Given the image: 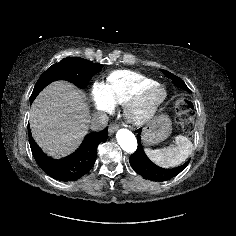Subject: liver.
<instances>
[{
	"instance_id": "1",
	"label": "liver",
	"mask_w": 236,
	"mask_h": 236,
	"mask_svg": "<svg viewBox=\"0 0 236 236\" xmlns=\"http://www.w3.org/2000/svg\"><path fill=\"white\" fill-rule=\"evenodd\" d=\"M89 107L73 84L56 81L35 99L30 127L36 143L50 156L62 158L74 151L88 131Z\"/></svg>"
}]
</instances>
